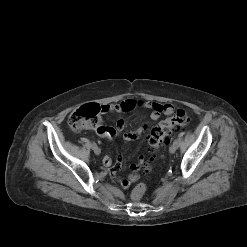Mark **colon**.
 Listing matches in <instances>:
<instances>
[{
	"instance_id": "1",
	"label": "colon",
	"mask_w": 247,
	"mask_h": 247,
	"mask_svg": "<svg viewBox=\"0 0 247 247\" xmlns=\"http://www.w3.org/2000/svg\"><path fill=\"white\" fill-rule=\"evenodd\" d=\"M103 107L98 104H86L74 110L69 116V125L75 130L97 129L101 125ZM190 121L189 115L183 110H177L173 116L152 129L148 142L152 149H157L174 133L181 131ZM150 165L145 167L148 172ZM146 191L143 183L138 184L132 191L134 200L140 199Z\"/></svg>"
}]
</instances>
